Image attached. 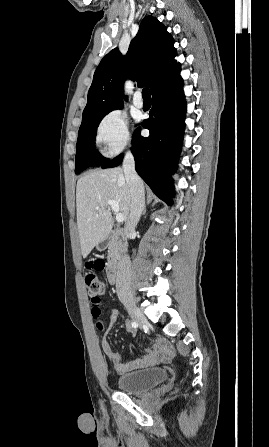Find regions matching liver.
Returning a JSON list of instances; mask_svg holds the SVG:
<instances>
[{"instance_id": "6515ba94", "label": "liver", "mask_w": 269, "mask_h": 447, "mask_svg": "<svg viewBox=\"0 0 269 447\" xmlns=\"http://www.w3.org/2000/svg\"><path fill=\"white\" fill-rule=\"evenodd\" d=\"M107 200L118 202L119 212L127 222L131 196L122 168L89 170L87 176L77 182V227L83 257L108 237L114 225ZM96 206L99 210H95Z\"/></svg>"}]
</instances>
